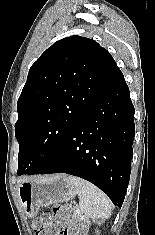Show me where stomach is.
Here are the masks:
<instances>
[{
  "label": "stomach",
  "mask_w": 155,
  "mask_h": 235,
  "mask_svg": "<svg viewBox=\"0 0 155 235\" xmlns=\"http://www.w3.org/2000/svg\"><path fill=\"white\" fill-rule=\"evenodd\" d=\"M18 195L25 213L33 217L41 206L72 200L76 196V189L66 175H56L21 182Z\"/></svg>",
  "instance_id": "stomach-1"
}]
</instances>
